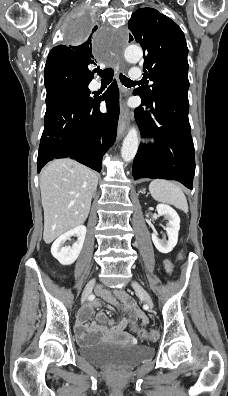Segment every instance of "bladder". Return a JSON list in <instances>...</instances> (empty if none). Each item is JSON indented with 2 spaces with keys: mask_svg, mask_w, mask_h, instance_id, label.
<instances>
[{
  "mask_svg": "<svg viewBox=\"0 0 228 396\" xmlns=\"http://www.w3.org/2000/svg\"><path fill=\"white\" fill-rule=\"evenodd\" d=\"M80 353L84 359L95 365L128 368L150 358L153 349L144 345L106 341L85 346Z\"/></svg>",
  "mask_w": 228,
  "mask_h": 396,
  "instance_id": "obj_1",
  "label": "bladder"
}]
</instances>
